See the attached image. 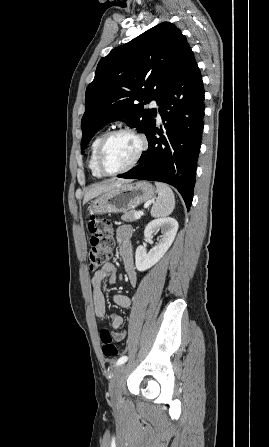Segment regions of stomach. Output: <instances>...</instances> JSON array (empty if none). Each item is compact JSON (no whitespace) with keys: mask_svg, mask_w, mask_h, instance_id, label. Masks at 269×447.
<instances>
[{"mask_svg":"<svg viewBox=\"0 0 269 447\" xmlns=\"http://www.w3.org/2000/svg\"><path fill=\"white\" fill-rule=\"evenodd\" d=\"M155 190L149 182L136 184H118L110 192L93 200L89 206L91 214H116L128 212L139 204L152 200Z\"/></svg>","mask_w":269,"mask_h":447,"instance_id":"obj_1","label":"stomach"}]
</instances>
